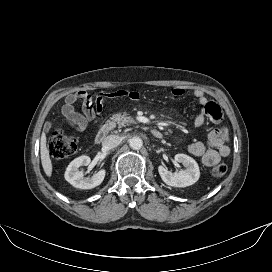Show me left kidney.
<instances>
[{"label":"left kidney","mask_w":272,"mask_h":272,"mask_svg":"<svg viewBox=\"0 0 272 272\" xmlns=\"http://www.w3.org/2000/svg\"><path fill=\"white\" fill-rule=\"evenodd\" d=\"M176 162L182 163L184 170L172 173L163 165L158 167V172L163 182L172 187H187L193 185L200 177V170L197 162L186 154H176Z\"/></svg>","instance_id":"obj_1"}]
</instances>
